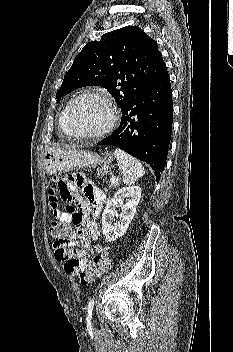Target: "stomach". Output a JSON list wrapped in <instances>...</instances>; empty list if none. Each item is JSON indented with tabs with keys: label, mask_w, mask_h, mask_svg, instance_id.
Wrapping results in <instances>:
<instances>
[{
	"label": "stomach",
	"mask_w": 233,
	"mask_h": 352,
	"mask_svg": "<svg viewBox=\"0 0 233 352\" xmlns=\"http://www.w3.org/2000/svg\"><path fill=\"white\" fill-rule=\"evenodd\" d=\"M104 161L101 156L91 151L48 148L44 154V170L48 174L62 173L72 169L94 168Z\"/></svg>",
	"instance_id": "0dacf381"
}]
</instances>
